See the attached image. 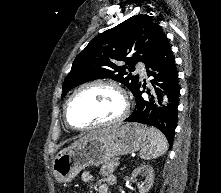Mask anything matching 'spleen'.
Returning <instances> with one entry per match:
<instances>
[{
	"instance_id": "1",
	"label": "spleen",
	"mask_w": 221,
	"mask_h": 193,
	"mask_svg": "<svg viewBox=\"0 0 221 193\" xmlns=\"http://www.w3.org/2000/svg\"><path fill=\"white\" fill-rule=\"evenodd\" d=\"M150 144L140 151V157L144 160L156 159L163 155L168 149V143L163 133L151 127Z\"/></svg>"
}]
</instances>
